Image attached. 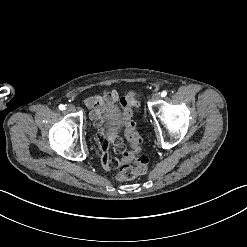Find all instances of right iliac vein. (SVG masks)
Returning <instances> with one entry per match:
<instances>
[{
    "instance_id": "right-iliac-vein-1",
    "label": "right iliac vein",
    "mask_w": 247,
    "mask_h": 247,
    "mask_svg": "<svg viewBox=\"0 0 247 247\" xmlns=\"http://www.w3.org/2000/svg\"><path fill=\"white\" fill-rule=\"evenodd\" d=\"M75 107L72 104L67 105V112H75Z\"/></svg>"
}]
</instances>
